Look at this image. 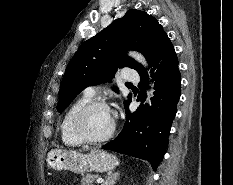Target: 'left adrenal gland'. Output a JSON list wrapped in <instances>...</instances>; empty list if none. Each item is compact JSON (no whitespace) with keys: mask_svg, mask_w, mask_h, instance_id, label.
Masks as SVG:
<instances>
[{"mask_svg":"<svg viewBox=\"0 0 233 185\" xmlns=\"http://www.w3.org/2000/svg\"><path fill=\"white\" fill-rule=\"evenodd\" d=\"M119 175V172H114L110 174L102 185H114L118 180Z\"/></svg>","mask_w":233,"mask_h":185,"instance_id":"obj_1","label":"left adrenal gland"}]
</instances>
